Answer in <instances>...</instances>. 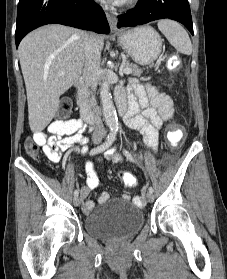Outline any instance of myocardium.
<instances>
[{"mask_svg": "<svg viewBox=\"0 0 227 279\" xmlns=\"http://www.w3.org/2000/svg\"><path fill=\"white\" fill-rule=\"evenodd\" d=\"M140 0H124V5L128 8H133Z\"/></svg>", "mask_w": 227, "mask_h": 279, "instance_id": "f54148a6", "label": "myocardium"}]
</instances>
